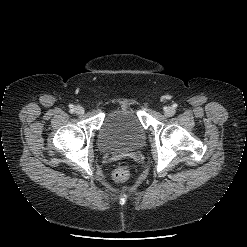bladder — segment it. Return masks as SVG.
<instances>
[{
	"mask_svg": "<svg viewBox=\"0 0 247 247\" xmlns=\"http://www.w3.org/2000/svg\"><path fill=\"white\" fill-rule=\"evenodd\" d=\"M145 129L132 108H118L104 119L97 143L103 151L139 148L145 141Z\"/></svg>",
	"mask_w": 247,
	"mask_h": 247,
	"instance_id": "obj_1",
	"label": "bladder"
}]
</instances>
